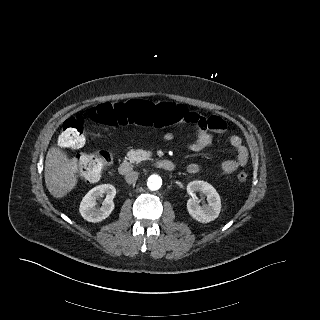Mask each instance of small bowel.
<instances>
[{
  "instance_id": "obj_1",
  "label": "small bowel",
  "mask_w": 320,
  "mask_h": 320,
  "mask_svg": "<svg viewBox=\"0 0 320 320\" xmlns=\"http://www.w3.org/2000/svg\"><path fill=\"white\" fill-rule=\"evenodd\" d=\"M182 107L183 117L179 122L193 124L196 127V136L194 141L189 144V150L200 152L210 147L214 141L211 131L222 132L226 129V123L222 118L216 116L204 117L197 112L189 111L184 106ZM172 138V133L165 135L166 140H171ZM229 142L236 153V157L221 163V171L225 174L234 173L238 168L245 166L248 162V150L242 139L234 135L230 137ZM199 170L200 166L197 163H190L187 166V172L189 174H196Z\"/></svg>"
}]
</instances>
